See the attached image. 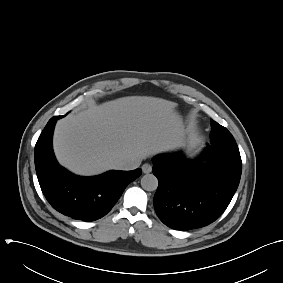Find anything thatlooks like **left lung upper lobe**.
Here are the masks:
<instances>
[{
  "label": "left lung upper lobe",
  "mask_w": 283,
  "mask_h": 283,
  "mask_svg": "<svg viewBox=\"0 0 283 283\" xmlns=\"http://www.w3.org/2000/svg\"><path fill=\"white\" fill-rule=\"evenodd\" d=\"M211 142L212 145L222 146L230 151L239 153L237 144L232 134L223 126L212 120Z\"/></svg>",
  "instance_id": "obj_1"
}]
</instances>
